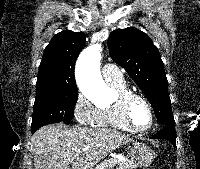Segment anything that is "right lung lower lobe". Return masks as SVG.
Masks as SVG:
<instances>
[{
	"mask_svg": "<svg viewBox=\"0 0 200 169\" xmlns=\"http://www.w3.org/2000/svg\"><path fill=\"white\" fill-rule=\"evenodd\" d=\"M39 128H40V127H39ZM39 128L31 129L32 134H33L37 129H39Z\"/></svg>",
	"mask_w": 200,
	"mask_h": 169,
	"instance_id": "right-lung-lower-lobe-1",
	"label": "right lung lower lobe"
}]
</instances>
